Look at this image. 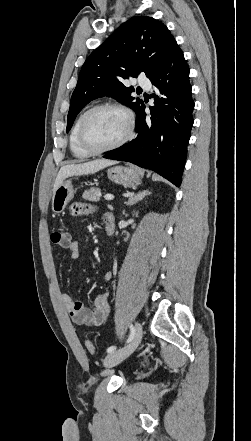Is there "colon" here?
Listing matches in <instances>:
<instances>
[{
  "label": "colon",
  "mask_w": 251,
  "mask_h": 441,
  "mask_svg": "<svg viewBox=\"0 0 251 441\" xmlns=\"http://www.w3.org/2000/svg\"><path fill=\"white\" fill-rule=\"evenodd\" d=\"M51 242L62 248H67L71 243V235L64 229H55L50 234ZM86 348L90 354L95 353V346L91 341L86 342Z\"/></svg>",
  "instance_id": "5ec220e1"
}]
</instances>
